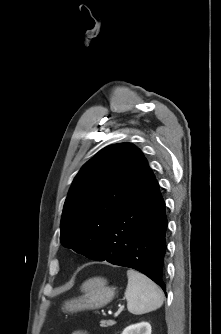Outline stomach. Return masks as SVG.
I'll use <instances>...</instances> for the list:
<instances>
[{
	"label": "stomach",
	"mask_w": 221,
	"mask_h": 334,
	"mask_svg": "<svg viewBox=\"0 0 221 334\" xmlns=\"http://www.w3.org/2000/svg\"><path fill=\"white\" fill-rule=\"evenodd\" d=\"M83 295L66 301L63 309L67 312L95 310L106 306L115 296V288L100 277L88 279L81 287Z\"/></svg>",
	"instance_id": "0dacf381"
}]
</instances>
